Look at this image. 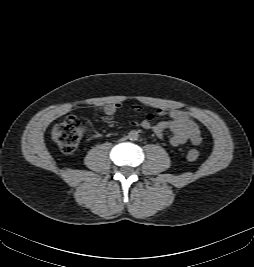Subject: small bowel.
Wrapping results in <instances>:
<instances>
[{
    "label": "small bowel",
    "instance_id": "1",
    "mask_svg": "<svg viewBox=\"0 0 254 267\" xmlns=\"http://www.w3.org/2000/svg\"><path fill=\"white\" fill-rule=\"evenodd\" d=\"M122 107L120 103L98 104L94 110L104 115L105 121H110L111 117ZM136 112L141 111V106L133 105ZM169 115V120L153 123L155 115ZM135 126H141L146 130H152L157 137L161 138L166 131H170V143L179 146L186 142L194 145L201 143V131L198 122L186 111L174 109L168 111L165 108H158L155 113H148L142 121H132Z\"/></svg>",
    "mask_w": 254,
    "mask_h": 267
}]
</instances>
